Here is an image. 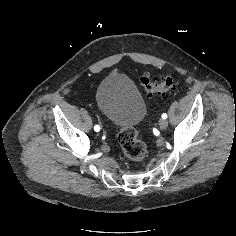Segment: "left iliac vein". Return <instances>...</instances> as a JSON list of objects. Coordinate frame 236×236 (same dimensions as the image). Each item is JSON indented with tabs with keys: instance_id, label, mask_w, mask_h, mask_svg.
I'll list each match as a JSON object with an SVG mask.
<instances>
[{
	"instance_id": "obj_1",
	"label": "left iliac vein",
	"mask_w": 236,
	"mask_h": 236,
	"mask_svg": "<svg viewBox=\"0 0 236 236\" xmlns=\"http://www.w3.org/2000/svg\"><path fill=\"white\" fill-rule=\"evenodd\" d=\"M168 126V121L166 119H161L159 121V128L164 130Z\"/></svg>"
}]
</instances>
